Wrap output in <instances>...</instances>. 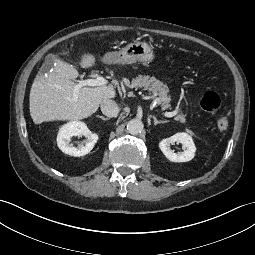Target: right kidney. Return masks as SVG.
<instances>
[{
    "mask_svg": "<svg viewBox=\"0 0 255 255\" xmlns=\"http://www.w3.org/2000/svg\"><path fill=\"white\" fill-rule=\"evenodd\" d=\"M73 136H84L86 139L74 147L71 142ZM98 135L92 133L85 123L73 121L63 125L57 135V145L59 149L68 155L80 157L88 154L95 146Z\"/></svg>",
    "mask_w": 255,
    "mask_h": 255,
    "instance_id": "1",
    "label": "right kidney"
}]
</instances>
